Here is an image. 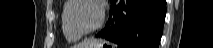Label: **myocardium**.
I'll list each match as a JSON object with an SVG mask.
<instances>
[{"label":"myocardium","instance_id":"1","mask_svg":"<svg viewBox=\"0 0 213 48\" xmlns=\"http://www.w3.org/2000/svg\"><path fill=\"white\" fill-rule=\"evenodd\" d=\"M79 1H87V2H90L92 4H94L98 11H99V19H98V22L96 23V25L91 28L90 30L88 31H85V32H77L75 30H73L68 22V14L71 10V7L73 6V4H75L76 2H79ZM62 21H63V25L65 27V29L73 36H76L78 38H83V37H86L88 35H91L93 33H95L96 31H98L104 21H105V8H104V5L101 1L99 0H69L67 2V5L65 7V11L63 13V16H62Z\"/></svg>","mask_w":213,"mask_h":48}]
</instances>
